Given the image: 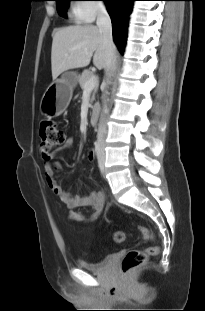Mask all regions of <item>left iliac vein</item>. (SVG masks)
I'll return each mask as SVG.
<instances>
[{"mask_svg": "<svg viewBox=\"0 0 205 311\" xmlns=\"http://www.w3.org/2000/svg\"><path fill=\"white\" fill-rule=\"evenodd\" d=\"M104 163H105L104 144L101 143V146H100V153H99V155H98V165H99V168L101 169V172L104 171Z\"/></svg>", "mask_w": 205, "mask_h": 311, "instance_id": "1", "label": "left iliac vein"}]
</instances>
